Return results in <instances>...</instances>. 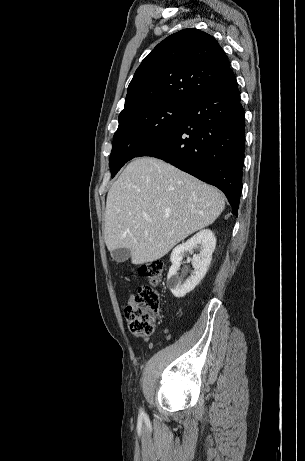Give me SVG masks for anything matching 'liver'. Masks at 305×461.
Segmentation results:
<instances>
[{
    "instance_id": "liver-1",
    "label": "liver",
    "mask_w": 305,
    "mask_h": 461,
    "mask_svg": "<svg viewBox=\"0 0 305 461\" xmlns=\"http://www.w3.org/2000/svg\"><path fill=\"white\" fill-rule=\"evenodd\" d=\"M224 208L214 187L160 159L137 158L108 192L105 243L110 252L129 249L132 264L152 262L212 224Z\"/></svg>"
}]
</instances>
